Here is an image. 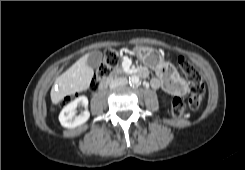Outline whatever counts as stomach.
Returning a JSON list of instances; mask_svg holds the SVG:
<instances>
[{
    "label": "stomach",
    "mask_w": 245,
    "mask_h": 170,
    "mask_svg": "<svg viewBox=\"0 0 245 170\" xmlns=\"http://www.w3.org/2000/svg\"><path fill=\"white\" fill-rule=\"evenodd\" d=\"M134 52L137 58L150 68L157 69L163 64L160 54L151 47L136 46Z\"/></svg>",
    "instance_id": "stomach-1"
}]
</instances>
